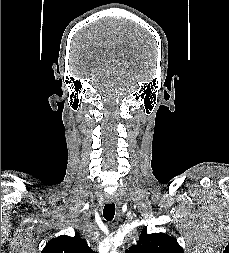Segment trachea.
<instances>
[{
    "label": "trachea",
    "mask_w": 229,
    "mask_h": 253,
    "mask_svg": "<svg viewBox=\"0 0 229 253\" xmlns=\"http://www.w3.org/2000/svg\"><path fill=\"white\" fill-rule=\"evenodd\" d=\"M115 215V205L114 203L106 204L103 209V216L107 221H111Z\"/></svg>",
    "instance_id": "3493384b"
}]
</instances>
